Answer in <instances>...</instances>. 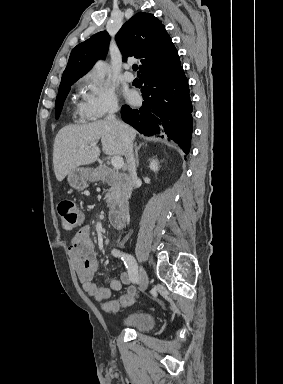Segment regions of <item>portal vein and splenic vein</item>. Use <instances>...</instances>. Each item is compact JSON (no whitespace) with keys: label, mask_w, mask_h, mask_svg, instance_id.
Returning a JSON list of instances; mask_svg holds the SVG:
<instances>
[{"label":"portal vein and splenic vein","mask_w":283,"mask_h":384,"mask_svg":"<svg viewBox=\"0 0 283 384\" xmlns=\"http://www.w3.org/2000/svg\"><path fill=\"white\" fill-rule=\"evenodd\" d=\"M90 146H96V144H90ZM111 164L114 168V170H121V168H123V158H121V156H113L112 160H111Z\"/></svg>","instance_id":"obj_1"}]
</instances>
